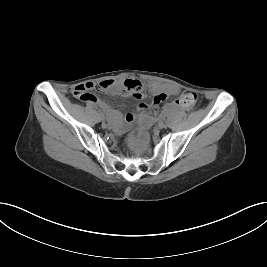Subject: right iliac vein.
Listing matches in <instances>:
<instances>
[{
    "label": "right iliac vein",
    "instance_id": "obj_1",
    "mask_svg": "<svg viewBox=\"0 0 267 267\" xmlns=\"http://www.w3.org/2000/svg\"><path fill=\"white\" fill-rule=\"evenodd\" d=\"M101 120H105L104 115H100Z\"/></svg>",
    "mask_w": 267,
    "mask_h": 267
}]
</instances>
